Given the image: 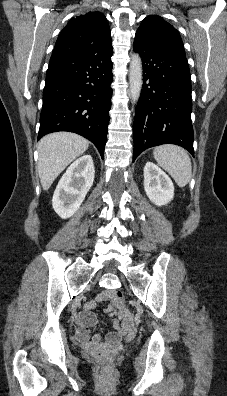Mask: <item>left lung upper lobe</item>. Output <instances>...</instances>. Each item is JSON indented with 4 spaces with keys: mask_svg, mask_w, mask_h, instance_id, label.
<instances>
[{
    "mask_svg": "<svg viewBox=\"0 0 227 396\" xmlns=\"http://www.w3.org/2000/svg\"><path fill=\"white\" fill-rule=\"evenodd\" d=\"M135 40L149 47L160 46L185 54L178 31L157 15H150L142 21Z\"/></svg>",
    "mask_w": 227,
    "mask_h": 396,
    "instance_id": "5c2ea615",
    "label": "left lung upper lobe"
}]
</instances>
